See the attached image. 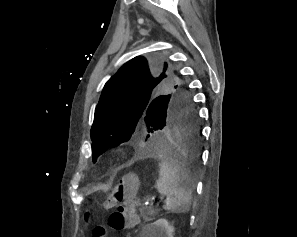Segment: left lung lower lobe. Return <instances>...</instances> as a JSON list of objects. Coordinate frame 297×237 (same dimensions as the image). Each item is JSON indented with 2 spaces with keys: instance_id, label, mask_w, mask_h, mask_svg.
Here are the masks:
<instances>
[{
  "instance_id": "0a47b994",
  "label": "left lung lower lobe",
  "mask_w": 297,
  "mask_h": 237,
  "mask_svg": "<svg viewBox=\"0 0 297 237\" xmlns=\"http://www.w3.org/2000/svg\"><path fill=\"white\" fill-rule=\"evenodd\" d=\"M201 136L193 104L178 102L167 117H163L161 127L144 144L138 156H166L193 170L199 163Z\"/></svg>"
}]
</instances>
